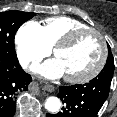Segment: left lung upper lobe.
I'll return each instance as SVG.
<instances>
[{
    "label": "left lung upper lobe",
    "instance_id": "left-lung-upper-lobe-1",
    "mask_svg": "<svg viewBox=\"0 0 117 117\" xmlns=\"http://www.w3.org/2000/svg\"><path fill=\"white\" fill-rule=\"evenodd\" d=\"M113 72H114V58L111 53V48L108 45V58L106 65L104 66L103 70L99 73V75L94 78V80L110 87Z\"/></svg>",
    "mask_w": 117,
    "mask_h": 117
}]
</instances>
